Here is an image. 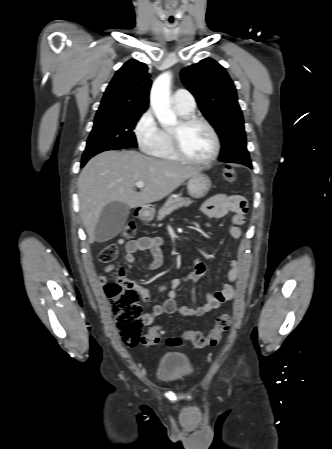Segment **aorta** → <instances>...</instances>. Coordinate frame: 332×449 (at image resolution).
<instances>
[{
    "label": "aorta",
    "mask_w": 332,
    "mask_h": 449,
    "mask_svg": "<svg viewBox=\"0 0 332 449\" xmlns=\"http://www.w3.org/2000/svg\"><path fill=\"white\" fill-rule=\"evenodd\" d=\"M171 73L161 74L153 83L150 92L151 107L162 126H174L177 119L170 103Z\"/></svg>",
    "instance_id": "obj_1"
}]
</instances>
